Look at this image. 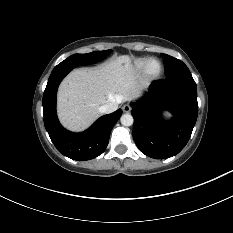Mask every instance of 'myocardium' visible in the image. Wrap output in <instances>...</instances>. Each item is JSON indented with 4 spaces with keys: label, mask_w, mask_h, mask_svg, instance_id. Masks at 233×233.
<instances>
[{
    "label": "myocardium",
    "mask_w": 233,
    "mask_h": 233,
    "mask_svg": "<svg viewBox=\"0 0 233 233\" xmlns=\"http://www.w3.org/2000/svg\"><path fill=\"white\" fill-rule=\"evenodd\" d=\"M155 61L159 63L160 67L156 73H151L149 67H150V64ZM163 70H164L163 63L158 58H150L145 64L143 75L147 80H155V79H158L162 75Z\"/></svg>",
    "instance_id": "f54148a6"
}]
</instances>
